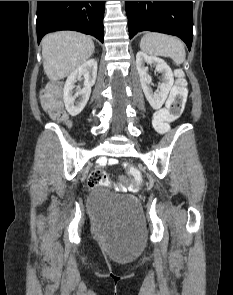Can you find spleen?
I'll return each mask as SVG.
<instances>
[{
    "label": "spleen",
    "mask_w": 233,
    "mask_h": 295,
    "mask_svg": "<svg viewBox=\"0 0 233 295\" xmlns=\"http://www.w3.org/2000/svg\"><path fill=\"white\" fill-rule=\"evenodd\" d=\"M140 48L153 56L170 57L178 64L186 56L184 43L179 38L162 33L147 32L141 38Z\"/></svg>",
    "instance_id": "spleen-1"
}]
</instances>
